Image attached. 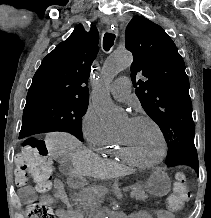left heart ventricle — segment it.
<instances>
[{"label":"left heart ventricle","mask_w":211,"mask_h":218,"mask_svg":"<svg viewBox=\"0 0 211 218\" xmlns=\"http://www.w3.org/2000/svg\"><path fill=\"white\" fill-rule=\"evenodd\" d=\"M130 151L140 160L152 162L161 152L159 135L154 126L145 120L133 121L127 118L116 132Z\"/></svg>","instance_id":"obj_1"}]
</instances>
